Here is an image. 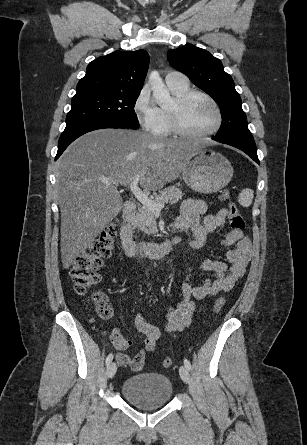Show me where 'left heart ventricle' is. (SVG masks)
<instances>
[{"label":"left heart ventricle","instance_id":"b2bd125f","mask_svg":"<svg viewBox=\"0 0 307 445\" xmlns=\"http://www.w3.org/2000/svg\"><path fill=\"white\" fill-rule=\"evenodd\" d=\"M185 125L194 132H206L213 129L218 122L215 107L201 98H194L183 111Z\"/></svg>","mask_w":307,"mask_h":445}]
</instances>
